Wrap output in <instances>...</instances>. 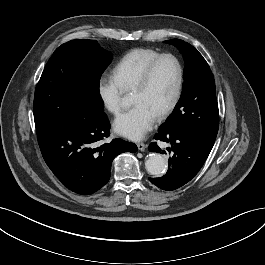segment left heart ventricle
I'll return each mask as SVG.
<instances>
[{"instance_id":"left-heart-ventricle-1","label":"left heart ventricle","mask_w":265,"mask_h":265,"mask_svg":"<svg viewBox=\"0 0 265 265\" xmlns=\"http://www.w3.org/2000/svg\"><path fill=\"white\" fill-rule=\"evenodd\" d=\"M177 80L175 62L171 59L162 60L155 67L148 86L142 91L131 93L132 104H142L157 116L172 100Z\"/></svg>"}]
</instances>
